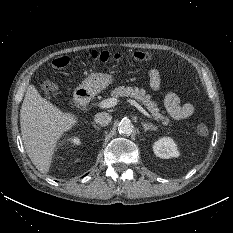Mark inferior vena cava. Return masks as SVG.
<instances>
[{"label":"inferior vena cava","instance_id":"1","mask_svg":"<svg viewBox=\"0 0 233 233\" xmlns=\"http://www.w3.org/2000/svg\"><path fill=\"white\" fill-rule=\"evenodd\" d=\"M112 116L107 112H100L95 115V122L101 126H106L110 123Z\"/></svg>","mask_w":233,"mask_h":233}]
</instances>
